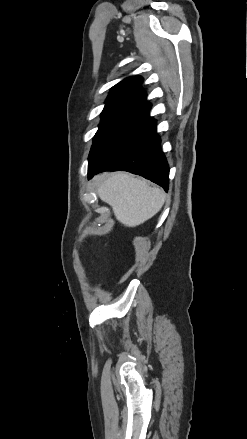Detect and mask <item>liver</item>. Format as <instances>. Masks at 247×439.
Masks as SVG:
<instances>
[{
	"instance_id": "1",
	"label": "liver",
	"mask_w": 247,
	"mask_h": 439,
	"mask_svg": "<svg viewBox=\"0 0 247 439\" xmlns=\"http://www.w3.org/2000/svg\"><path fill=\"white\" fill-rule=\"evenodd\" d=\"M99 198L112 207L116 219L127 227L143 224L164 205L166 194L143 179L119 172L97 181Z\"/></svg>"
}]
</instances>
